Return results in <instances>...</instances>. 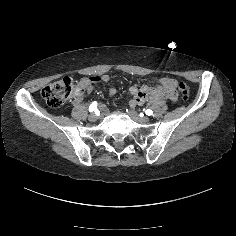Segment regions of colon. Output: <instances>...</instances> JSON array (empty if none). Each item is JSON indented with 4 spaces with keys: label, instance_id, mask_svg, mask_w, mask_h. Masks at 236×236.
<instances>
[{
    "label": "colon",
    "instance_id": "obj_1",
    "mask_svg": "<svg viewBox=\"0 0 236 236\" xmlns=\"http://www.w3.org/2000/svg\"><path fill=\"white\" fill-rule=\"evenodd\" d=\"M90 83V79L75 81L65 77L47 85L42 89L41 95L50 107L59 108L68 100L81 95ZM177 88L182 98L187 99L190 92L189 86L184 82H179Z\"/></svg>",
    "mask_w": 236,
    "mask_h": 236
}]
</instances>
